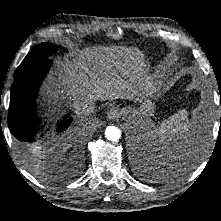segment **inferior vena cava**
<instances>
[{
  "label": "inferior vena cava",
  "instance_id": "1",
  "mask_svg": "<svg viewBox=\"0 0 221 221\" xmlns=\"http://www.w3.org/2000/svg\"><path fill=\"white\" fill-rule=\"evenodd\" d=\"M75 111L81 115H89L95 110V101L89 97H83L74 104Z\"/></svg>",
  "mask_w": 221,
  "mask_h": 221
}]
</instances>
